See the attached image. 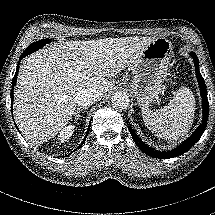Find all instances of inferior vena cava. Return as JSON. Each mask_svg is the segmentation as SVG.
<instances>
[{"mask_svg":"<svg viewBox=\"0 0 215 215\" xmlns=\"http://www.w3.org/2000/svg\"><path fill=\"white\" fill-rule=\"evenodd\" d=\"M101 96H102V92H100V91L80 90L79 92H77V94L75 96V103L81 108H86V107L90 106L91 104L100 100Z\"/></svg>","mask_w":215,"mask_h":215,"instance_id":"602c4592","label":"inferior vena cava"}]
</instances>
